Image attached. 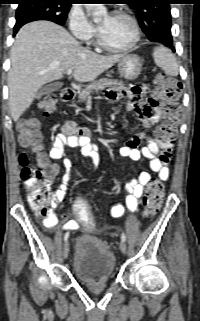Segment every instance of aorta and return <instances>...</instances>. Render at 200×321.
<instances>
[{"label": "aorta", "mask_w": 200, "mask_h": 321, "mask_svg": "<svg viewBox=\"0 0 200 321\" xmlns=\"http://www.w3.org/2000/svg\"><path fill=\"white\" fill-rule=\"evenodd\" d=\"M86 8L92 13L93 19L96 21L106 15L107 9L103 4H86Z\"/></svg>", "instance_id": "aorta-1"}]
</instances>
